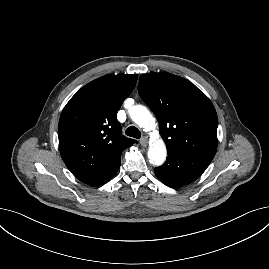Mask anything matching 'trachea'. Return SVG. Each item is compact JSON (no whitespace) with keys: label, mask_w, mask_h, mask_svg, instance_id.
Returning <instances> with one entry per match:
<instances>
[{"label":"trachea","mask_w":269,"mask_h":269,"mask_svg":"<svg viewBox=\"0 0 269 269\" xmlns=\"http://www.w3.org/2000/svg\"><path fill=\"white\" fill-rule=\"evenodd\" d=\"M125 134L136 139H139L141 137V132L135 126L128 127Z\"/></svg>","instance_id":"3493384b"}]
</instances>
